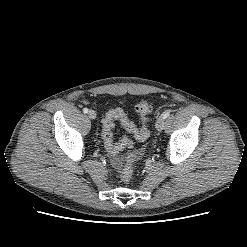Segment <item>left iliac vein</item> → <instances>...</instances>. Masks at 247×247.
Here are the masks:
<instances>
[{
    "label": "left iliac vein",
    "instance_id": "4c4485c4",
    "mask_svg": "<svg viewBox=\"0 0 247 247\" xmlns=\"http://www.w3.org/2000/svg\"><path fill=\"white\" fill-rule=\"evenodd\" d=\"M164 118L163 117H159L156 121V124H155V128L157 131H162L163 128H164Z\"/></svg>",
    "mask_w": 247,
    "mask_h": 247
}]
</instances>
